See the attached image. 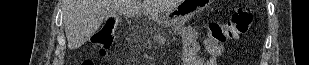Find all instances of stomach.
<instances>
[{
	"label": "stomach",
	"mask_w": 309,
	"mask_h": 65,
	"mask_svg": "<svg viewBox=\"0 0 309 65\" xmlns=\"http://www.w3.org/2000/svg\"><path fill=\"white\" fill-rule=\"evenodd\" d=\"M211 0H181L175 7L162 13L151 15L149 20L173 26L183 25L194 15L204 10Z\"/></svg>",
	"instance_id": "0dacf381"
}]
</instances>
